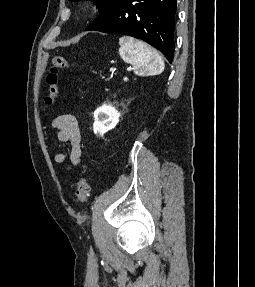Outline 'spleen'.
<instances>
[{
	"instance_id": "spleen-1",
	"label": "spleen",
	"mask_w": 255,
	"mask_h": 287,
	"mask_svg": "<svg viewBox=\"0 0 255 287\" xmlns=\"http://www.w3.org/2000/svg\"><path fill=\"white\" fill-rule=\"evenodd\" d=\"M119 44L122 60L132 64L138 72H150L151 76L164 72L165 64L161 56L144 42L124 36V38H120Z\"/></svg>"
}]
</instances>
